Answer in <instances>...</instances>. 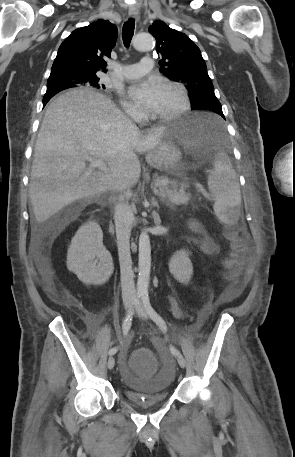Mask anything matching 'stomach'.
<instances>
[{"label": "stomach", "instance_id": "obj_1", "mask_svg": "<svg viewBox=\"0 0 295 457\" xmlns=\"http://www.w3.org/2000/svg\"><path fill=\"white\" fill-rule=\"evenodd\" d=\"M199 115H192L168 124L159 142L146 155L147 163L159 170L177 174L182 169L180 147L195 149L207 143L211 135Z\"/></svg>", "mask_w": 295, "mask_h": 457}]
</instances>
